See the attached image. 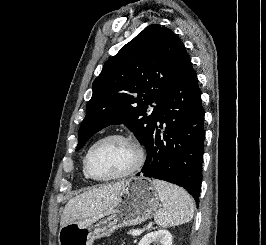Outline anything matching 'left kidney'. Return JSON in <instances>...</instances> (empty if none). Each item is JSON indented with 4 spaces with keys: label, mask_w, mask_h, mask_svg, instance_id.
Wrapping results in <instances>:
<instances>
[{
    "label": "left kidney",
    "mask_w": 266,
    "mask_h": 245,
    "mask_svg": "<svg viewBox=\"0 0 266 245\" xmlns=\"http://www.w3.org/2000/svg\"><path fill=\"white\" fill-rule=\"evenodd\" d=\"M151 243H157V245H172V235L169 231L161 229V231H154V233H147L138 245H151Z\"/></svg>",
    "instance_id": "5707ae66"
}]
</instances>
